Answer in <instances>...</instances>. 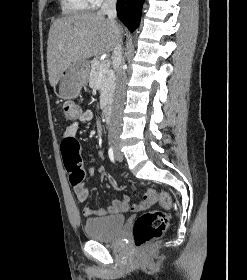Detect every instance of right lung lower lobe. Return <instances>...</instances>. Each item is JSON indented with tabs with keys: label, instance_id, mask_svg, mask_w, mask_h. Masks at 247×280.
I'll use <instances>...</instances> for the list:
<instances>
[{
	"label": "right lung lower lobe",
	"instance_id": "right-lung-lower-lobe-1",
	"mask_svg": "<svg viewBox=\"0 0 247 280\" xmlns=\"http://www.w3.org/2000/svg\"><path fill=\"white\" fill-rule=\"evenodd\" d=\"M144 0H118L117 15L130 31H134L140 22Z\"/></svg>",
	"mask_w": 247,
	"mask_h": 280
}]
</instances>
